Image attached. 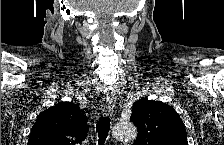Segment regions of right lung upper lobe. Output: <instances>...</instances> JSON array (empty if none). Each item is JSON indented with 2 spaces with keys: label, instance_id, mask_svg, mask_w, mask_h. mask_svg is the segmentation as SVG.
<instances>
[{
  "label": "right lung upper lobe",
  "instance_id": "cb5924a9",
  "mask_svg": "<svg viewBox=\"0 0 224 145\" xmlns=\"http://www.w3.org/2000/svg\"><path fill=\"white\" fill-rule=\"evenodd\" d=\"M87 133V118L79 105L60 102L40 113L28 145H76L85 140Z\"/></svg>",
  "mask_w": 224,
  "mask_h": 145
}]
</instances>
